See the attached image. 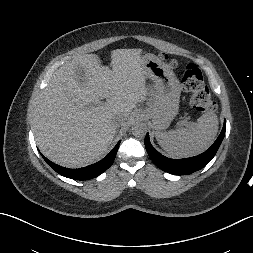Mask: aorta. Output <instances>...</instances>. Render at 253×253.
<instances>
[{
	"label": "aorta",
	"mask_w": 253,
	"mask_h": 253,
	"mask_svg": "<svg viewBox=\"0 0 253 253\" xmlns=\"http://www.w3.org/2000/svg\"><path fill=\"white\" fill-rule=\"evenodd\" d=\"M147 133V125L141 121H137L132 125V134L135 137H144Z\"/></svg>",
	"instance_id": "aorta-1"
}]
</instances>
